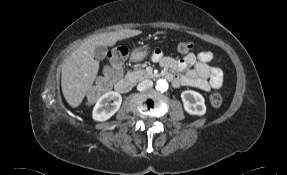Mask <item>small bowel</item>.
Here are the masks:
<instances>
[{
  "mask_svg": "<svg viewBox=\"0 0 287 175\" xmlns=\"http://www.w3.org/2000/svg\"><path fill=\"white\" fill-rule=\"evenodd\" d=\"M211 58L210 52H201L197 56L189 54L183 59L164 56L160 52L153 56L154 61L171 72L169 75L175 87L191 86L204 91L220 82L218 70L208 64Z\"/></svg>",
  "mask_w": 287,
  "mask_h": 175,
  "instance_id": "c3829d8e",
  "label": "small bowel"
}]
</instances>
